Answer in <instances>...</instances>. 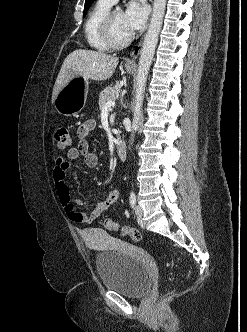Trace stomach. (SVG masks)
Instances as JSON below:
<instances>
[{
  "instance_id": "stomach-1",
  "label": "stomach",
  "mask_w": 247,
  "mask_h": 332,
  "mask_svg": "<svg viewBox=\"0 0 247 332\" xmlns=\"http://www.w3.org/2000/svg\"><path fill=\"white\" fill-rule=\"evenodd\" d=\"M128 73L133 69L126 68ZM89 90V80L83 76L72 78L57 94L54 107L56 111L64 116H75L85 106Z\"/></svg>"
}]
</instances>
